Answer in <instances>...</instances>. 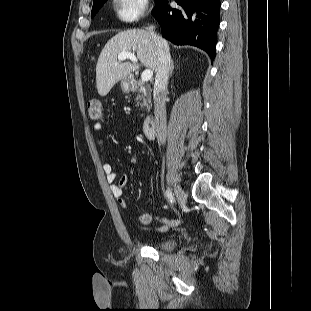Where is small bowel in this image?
Returning <instances> with one entry per match:
<instances>
[{"mask_svg": "<svg viewBox=\"0 0 311 311\" xmlns=\"http://www.w3.org/2000/svg\"><path fill=\"white\" fill-rule=\"evenodd\" d=\"M101 125L99 123L93 126L94 131L100 130ZM103 172L106 176L107 182L110 184V189L112 194L117 198L118 203L122 209H127L128 204L123 196V189L128 183V176L124 175L119 180H117V173L111 163L103 164ZM153 220V217L149 213H144L138 216V222L141 225H149ZM162 226L157 230L159 232H166L171 227L178 226L181 223L180 219H166V218H156Z\"/></svg>", "mask_w": 311, "mask_h": 311, "instance_id": "obj_1", "label": "small bowel"}]
</instances>
